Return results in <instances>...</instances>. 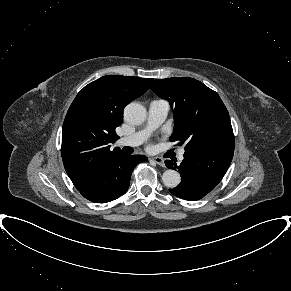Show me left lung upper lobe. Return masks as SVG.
I'll use <instances>...</instances> for the list:
<instances>
[{"label": "left lung upper lobe", "instance_id": "5c2ea615", "mask_svg": "<svg viewBox=\"0 0 291 291\" xmlns=\"http://www.w3.org/2000/svg\"><path fill=\"white\" fill-rule=\"evenodd\" d=\"M150 88L169 101L174 116L170 141L185 144V151L233 149V129L219 95L189 77L156 79Z\"/></svg>", "mask_w": 291, "mask_h": 291}]
</instances>
